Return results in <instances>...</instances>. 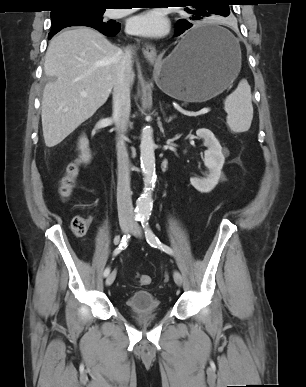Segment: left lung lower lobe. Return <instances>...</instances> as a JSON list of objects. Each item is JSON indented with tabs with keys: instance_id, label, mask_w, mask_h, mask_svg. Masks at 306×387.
<instances>
[{
	"instance_id": "0a47b994",
	"label": "left lung lower lobe",
	"mask_w": 306,
	"mask_h": 387,
	"mask_svg": "<svg viewBox=\"0 0 306 387\" xmlns=\"http://www.w3.org/2000/svg\"><path fill=\"white\" fill-rule=\"evenodd\" d=\"M192 26L193 24L186 20H179L176 24V36L181 35ZM223 33L224 32L222 31L214 30V29L196 31V32H192V30H189L184 34L185 48H193L203 43L224 40Z\"/></svg>"
}]
</instances>
